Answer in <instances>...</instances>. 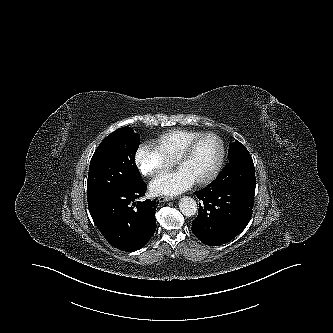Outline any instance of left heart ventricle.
Here are the masks:
<instances>
[{
	"label": "left heart ventricle",
	"mask_w": 333,
	"mask_h": 333,
	"mask_svg": "<svg viewBox=\"0 0 333 333\" xmlns=\"http://www.w3.org/2000/svg\"><path fill=\"white\" fill-rule=\"evenodd\" d=\"M220 154L219 142L214 137H205L191 155L179 165L194 182L207 177L213 170Z\"/></svg>",
	"instance_id": "left-heart-ventricle-1"
}]
</instances>
